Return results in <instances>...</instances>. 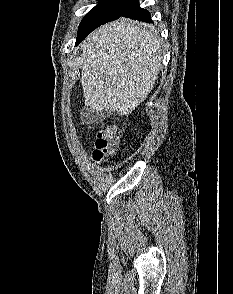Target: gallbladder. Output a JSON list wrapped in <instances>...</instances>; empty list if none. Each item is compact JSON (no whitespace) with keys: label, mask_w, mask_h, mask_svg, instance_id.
Returning <instances> with one entry per match:
<instances>
[{"label":"gallbladder","mask_w":233,"mask_h":294,"mask_svg":"<svg viewBox=\"0 0 233 294\" xmlns=\"http://www.w3.org/2000/svg\"><path fill=\"white\" fill-rule=\"evenodd\" d=\"M82 116L84 117V119L85 120H90V121H92L93 119L92 118H87V116H88V111H87V109H84V111H83V113H82Z\"/></svg>","instance_id":"gallbladder-1"}]
</instances>
